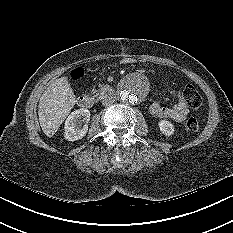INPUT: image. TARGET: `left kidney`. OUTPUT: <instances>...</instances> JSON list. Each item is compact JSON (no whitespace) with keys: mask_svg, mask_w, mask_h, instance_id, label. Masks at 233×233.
<instances>
[{"mask_svg":"<svg viewBox=\"0 0 233 233\" xmlns=\"http://www.w3.org/2000/svg\"><path fill=\"white\" fill-rule=\"evenodd\" d=\"M158 126L160 128V131L165 135V136H171L174 134V125L168 121V120H160L158 123Z\"/></svg>","mask_w":233,"mask_h":233,"instance_id":"5707ae66","label":"left kidney"}]
</instances>
